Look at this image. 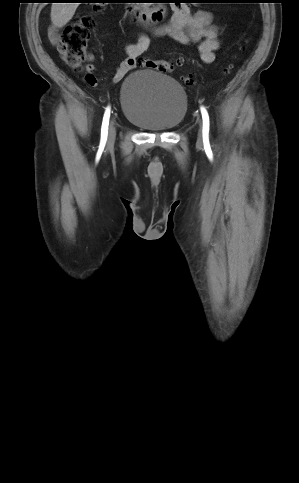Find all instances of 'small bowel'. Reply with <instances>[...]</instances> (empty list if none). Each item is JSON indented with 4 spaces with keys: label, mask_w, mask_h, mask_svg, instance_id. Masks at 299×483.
I'll use <instances>...</instances> for the list:
<instances>
[{
    "label": "small bowel",
    "mask_w": 299,
    "mask_h": 483,
    "mask_svg": "<svg viewBox=\"0 0 299 483\" xmlns=\"http://www.w3.org/2000/svg\"><path fill=\"white\" fill-rule=\"evenodd\" d=\"M219 32L220 28L213 23L212 13L205 10L191 11L183 2L174 5L169 22L151 28V33L155 37H168L183 45L199 43L200 58L205 64L215 61L216 51L220 47ZM49 38L53 44L59 42V34L55 28L49 30ZM149 45V35L142 33L135 43L125 46L127 58L118 65L113 77L114 82L121 81L136 67L138 58L146 52ZM87 72L95 74L93 64L87 66Z\"/></svg>",
    "instance_id": "small-bowel-1"
}]
</instances>
